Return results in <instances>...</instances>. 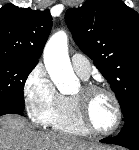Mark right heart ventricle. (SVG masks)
Masks as SVG:
<instances>
[{"instance_id":"e07e8e85","label":"right heart ventricle","mask_w":139,"mask_h":150,"mask_svg":"<svg viewBox=\"0 0 139 150\" xmlns=\"http://www.w3.org/2000/svg\"><path fill=\"white\" fill-rule=\"evenodd\" d=\"M48 126L63 133L82 136L89 134L79 121L74 96L61 95L49 118Z\"/></svg>"}]
</instances>
